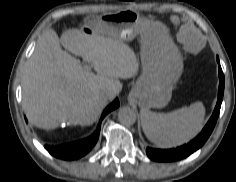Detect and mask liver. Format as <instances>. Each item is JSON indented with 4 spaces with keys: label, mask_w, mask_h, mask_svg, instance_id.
Returning a JSON list of instances; mask_svg holds the SVG:
<instances>
[{
    "label": "liver",
    "mask_w": 236,
    "mask_h": 182,
    "mask_svg": "<svg viewBox=\"0 0 236 182\" xmlns=\"http://www.w3.org/2000/svg\"><path fill=\"white\" fill-rule=\"evenodd\" d=\"M106 28L103 22L90 34L69 29L59 38L47 30L39 37L22 77V106L32 124L43 129H55L61 123L91 125L107 104L101 91H112L114 98L122 88L119 78L138 73L134 51L103 34ZM61 46L82 57L97 74L82 67Z\"/></svg>",
    "instance_id": "6515ba94"
}]
</instances>
